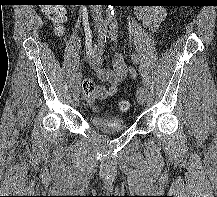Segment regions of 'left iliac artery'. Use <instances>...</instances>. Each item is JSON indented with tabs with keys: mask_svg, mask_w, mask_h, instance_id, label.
<instances>
[{
	"mask_svg": "<svg viewBox=\"0 0 217 197\" xmlns=\"http://www.w3.org/2000/svg\"><path fill=\"white\" fill-rule=\"evenodd\" d=\"M109 37L114 43H117V41H118V26L116 23H112L110 25ZM131 58L135 63H140L142 61V57L136 53H132Z\"/></svg>",
	"mask_w": 217,
	"mask_h": 197,
	"instance_id": "left-iliac-artery-1",
	"label": "left iliac artery"
}]
</instances>
